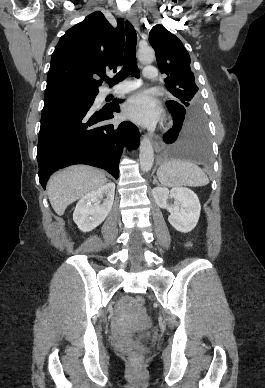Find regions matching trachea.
Wrapping results in <instances>:
<instances>
[{
    "label": "trachea",
    "instance_id": "1",
    "mask_svg": "<svg viewBox=\"0 0 265 388\" xmlns=\"http://www.w3.org/2000/svg\"><path fill=\"white\" fill-rule=\"evenodd\" d=\"M125 32H126V47L124 52V65L122 70H120L119 73L114 77V79H107V83L110 85H114L118 81L123 80L126 78L130 73L134 77L139 76V69L137 66V59L135 55L136 51V44H137V35L134 30L133 25L126 21L125 24Z\"/></svg>",
    "mask_w": 265,
    "mask_h": 388
}]
</instances>
